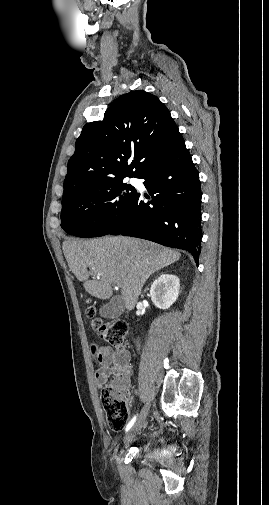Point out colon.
<instances>
[{"label":"colon","mask_w":269,"mask_h":505,"mask_svg":"<svg viewBox=\"0 0 269 505\" xmlns=\"http://www.w3.org/2000/svg\"><path fill=\"white\" fill-rule=\"evenodd\" d=\"M96 309L90 305L86 315L92 319L93 328L99 336L117 351L124 350L128 326L123 320L104 322L95 317ZM108 426L114 431H121L127 423L128 411L123 399V383L118 380L106 386L101 394Z\"/></svg>","instance_id":"colon-1"}]
</instances>
